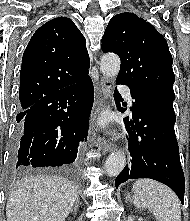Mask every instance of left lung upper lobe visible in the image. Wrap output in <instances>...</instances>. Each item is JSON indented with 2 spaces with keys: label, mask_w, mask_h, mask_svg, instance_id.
Masks as SVG:
<instances>
[{
  "label": "left lung upper lobe",
  "mask_w": 190,
  "mask_h": 221,
  "mask_svg": "<svg viewBox=\"0 0 190 221\" xmlns=\"http://www.w3.org/2000/svg\"><path fill=\"white\" fill-rule=\"evenodd\" d=\"M102 51L121 59L116 82L139 93L175 100L172 56L165 38L148 22L133 13L115 15L102 38Z\"/></svg>",
  "instance_id": "5c2ea615"
}]
</instances>
